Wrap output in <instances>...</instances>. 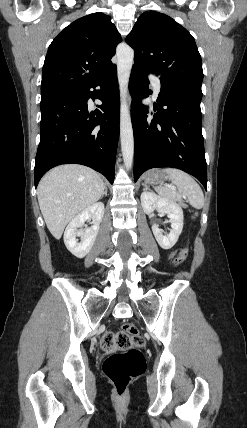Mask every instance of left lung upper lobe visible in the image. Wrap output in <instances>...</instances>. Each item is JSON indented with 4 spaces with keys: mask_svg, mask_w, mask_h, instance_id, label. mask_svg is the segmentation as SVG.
<instances>
[{
    "mask_svg": "<svg viewBox=\"0 0 247 428\" xmlns=\"http://www.w3.org/2000/svg\"><path fill=\"white\" fill-rule=\"evenodd\" d=\"M126 42L135 51V66L160 76L165 86L202 96L201 56L192 35L174 19L144 12Z\"/></svg>",
    "mask_w": 247,
    "mask_h": 428,
    "instance_id": "5c2ea615",
    "label": "left lung upper lobe"
}]
</instances>
